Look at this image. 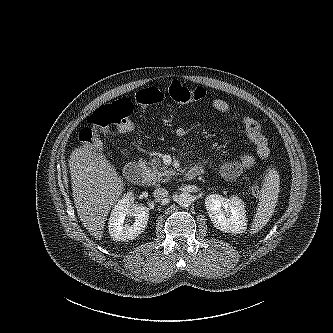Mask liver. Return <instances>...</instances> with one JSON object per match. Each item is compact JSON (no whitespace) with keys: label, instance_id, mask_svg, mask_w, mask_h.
I'll return each instance as SVG.
<instances>
[{"label":"liver","instance_id":"liver-1","mask_svg":"<svg viewBox=\"0 0 333 333\" xmlns=\"http://www.w3.org/2000/svg\"><path fill=\"white\" fill-rule=\"evenodd\" d=\"M75 207L83 226L101 240L110 209L124 190L115 167L88 146L76 148L69 159Z\"/></svg>","mask_w":333,"mask_h":333}]
</instances>
